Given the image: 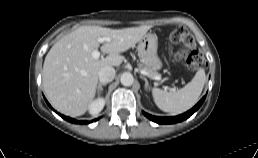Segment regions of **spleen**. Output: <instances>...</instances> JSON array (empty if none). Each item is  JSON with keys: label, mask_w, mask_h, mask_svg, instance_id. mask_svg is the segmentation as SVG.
<instances>
[{"label": "spleen", "mask_w": 258, "mask_h": 158, "mask_svg": "<svg viewBox=\"0 0 258 158\" xmlns=\"http://www.w3.org/2000/svg\"><path fill=\"white\" fill-rule=\"evenodd\" d=\"M206 81L205 71L199 69L192 80L176 92L159 88L152 89L156 105L171 114H180L190 109L198 101Z\"/></svg>", "instance_id": "3e777b00"}]
</instances>
